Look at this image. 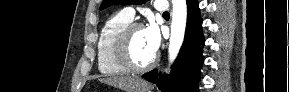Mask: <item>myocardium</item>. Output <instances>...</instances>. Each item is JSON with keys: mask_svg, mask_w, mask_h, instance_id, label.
<instances>
[{"mask_svg": "<svg viewBox=\"0 0 289 92\" xmlns=\"http://www.w3.org/2000/svg\"><path fill=\"white\" fill-rule=\"evenodd\" d=\"M144 25L140 22H131L126 25L118 34L114 44V55L118 63L129 72L141 73L152 69L158 62V56L145 65H138L132 59L130 53V44L133 34L143 29Z\"/></svg>", "mask_w": 289, "mask_h": 92, "instance_id": "1", "label": "myocardium"}]
</instances>
